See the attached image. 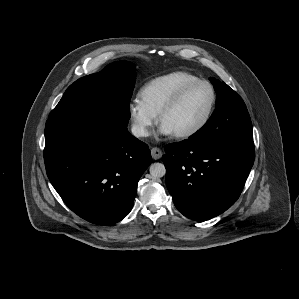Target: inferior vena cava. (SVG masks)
Here are the masks:
<instances>
[{
	"mask_svg": "<svg viewBox=\"0 0 299 299\" xmlns=\"http://www.w3.org/2000/svg\"><path fill=\"white\" fill-rule=\"evenodd\" d=\"M132 134L135 137H146L148 136V131L141 125H133L131 128Z\"/></svg>",
	"mask_w": 299,
	"mask_h": 299,
	"instance_id": "inferior-vena-cava-1",
	"label": "inferior vena cava"
}]
</instances>
